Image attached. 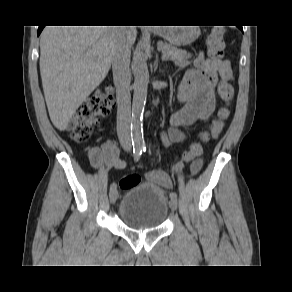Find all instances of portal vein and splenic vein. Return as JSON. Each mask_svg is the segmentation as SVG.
I'll list each match as a JSON object with an SVG mask.
<instances>
[{"instance_id": "1", "label": "portal vein and splenic vein", "mask_w": 292, "mask_h": 292, "mask_svg": "<svg viewBox=\"0 0 292 292\" xmlns=\"http://www.w3.org/2000/svg\"><path fill=\"white\" fill-rule=\"evenodd\" d=\"M162 59H167V56H166V55H163V56H162Z\"/></svg>"}]
</instances>
